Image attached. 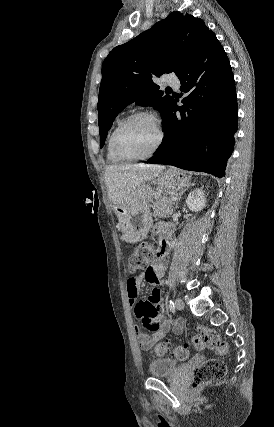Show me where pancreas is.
I'll list each match as a JSON object with an SVG mask.
<instances>
[{
  "label": "pancreas",
  "mask_w": 274,
  "mask_h": 427,
  "mask_svg": "<svg viewBox=\"0 0 274 427\" xmlns=\"http://www.w3.org/2000/svg\"><path fill=\"white\" fill-rule=\"evenodd\" d=\"M172 204L173 202H171L170 198L159 196L153 204L154 215H158V217H169L173 212Z\"/></svg>",
  "instance_id": "obj_1"
}]
</instances>
